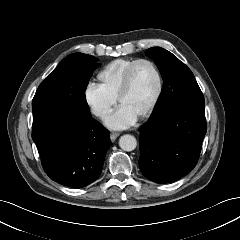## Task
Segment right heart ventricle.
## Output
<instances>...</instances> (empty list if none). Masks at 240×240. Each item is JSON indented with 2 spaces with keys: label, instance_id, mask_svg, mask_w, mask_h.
Segmentation results:
<instances>
[{
  "label": "right heart ventricle",
  "instance_id": "1",
  "mask_svg": "<svg viewBox=\"0 0 240 240\" xmlns=\"http://www.w3.org/2000/svg\"><path fill=\"white\" fill-rule=\"evenodd\" d=\"M135 60L118 58L106 64L97 74L99 86L111 97L117 98L124 73Z\"/></svg>",
  "mask_w": 240,
  "mask_h": 240
}]
</instances>
